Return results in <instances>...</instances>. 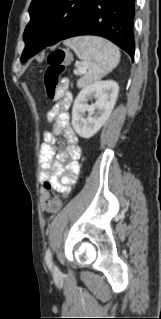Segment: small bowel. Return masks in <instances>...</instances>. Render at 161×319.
I'll return each mask as SVG.
<instances>
[{"label": "small bowel", "mask_w": 161, "mask_h": 319, "mask_svg": "<svg viewBox=\"0 0 161 319\" xmlns=\"http://www.w3.org/2000/svg\"><path fill=\"white\" fill-rule=\"evenodd\" d=\"M61 102L55 105L47 113V121L51 122L56 119L55 124L51 127L50 131L43 134V143L41 145V161H42V175L41 180L50 181L52 189L66 195L70 192L71 186L76 183L80 174V165L78 159L81 156V149L79 146L78 138L74 131L69 127L68 108L72 102V95L67 91L66 86H62L59 90ZM60 134L68 142L65 152L71 158L65 164L60 161L53 160L56 149V137ZM51 169V171H50ZM49 197V192L45 189L41 190V202L43 205Z\"/></svg>", "instance_id": "c3829d8e"}]
</instances>
